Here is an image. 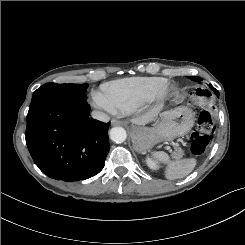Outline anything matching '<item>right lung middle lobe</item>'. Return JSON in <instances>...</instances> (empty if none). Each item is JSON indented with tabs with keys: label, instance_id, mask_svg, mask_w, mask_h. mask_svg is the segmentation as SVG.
<instances>
[{
	"label": "right lung middle lobe",
	"instance_id": "right-lung-middle-lobe-1",
	"mask_svg": "<svg viewBox=\"0 0 245 245\" xmlns=\"http://www.w3.org/2000/svg\"><path fill=\"white\" fill-rule=\"evenodd\" d=\"M88 87L87 83L84 84H56V83H46L34 91L32 100L40 97L42 95L50 93H65L73 95H85L86 89Z\"/></svg>",
	"mask_w": 245,
	"mask_h": 245
}]
</instances>
